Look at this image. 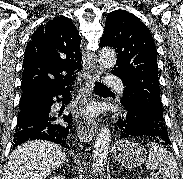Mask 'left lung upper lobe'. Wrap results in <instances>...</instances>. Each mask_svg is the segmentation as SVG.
<instances>
[{"mask_svg": "<svg viewBox=\"0 0 183 179\" xmlns=\"http://www.w3.org/2000/svg\"><path fill=\"white\" fill-rule=\"evenodd\" d=\"M100 46L113 47L117 52L111 73L121 78L125 86L122 104L136 103L157 121L164 122L156 47L145 24L132 13L115 10L106 18Z\"/></svg>", "mask_w": 183, "mask_h": 179, "instance_id": "1", "label": "left lung upper lobe"}]
</instances>
